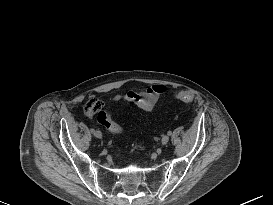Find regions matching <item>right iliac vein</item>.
Masks as SVG:
<instances>
[{
    "instance_id": "1",
    "label": "right iliac vein",
    "mask_w": 273,
    "mask_h": 205,
    "mask_svg": "<svg viewBox=\"0 0 273 205\" xmlns=\"http://www.w3.org/2000/svg\"><path fill=\"white\" fill-rule=\"evenodd\" d=\"M93 134L96 138H99V139L102 138V134L99 130H95Z\"/></svg>"
}]
</instances>
